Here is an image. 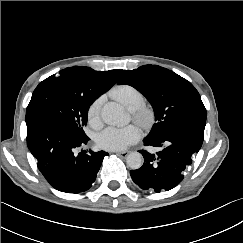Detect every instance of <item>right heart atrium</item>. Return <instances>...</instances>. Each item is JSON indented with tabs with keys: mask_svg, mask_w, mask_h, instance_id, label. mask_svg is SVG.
<instances>
[{
	"mask_svg": "<svg viewBox=\"0 0 243 243\" xmlns=\"http://www.w3.org/2000/svg\"><path fill=\"white\" fill-rule=\"evenodd\" d=\"M102 103H103V99L97 98L88 107L87 119H88V123L93 128H98L101 124Z\"/></svg>",
	"mask_w": 243,
	"mask_h": 243,
	"instance_id": "d8ad5b80",
	"label": "right heart atrium"
}]
</instances>
